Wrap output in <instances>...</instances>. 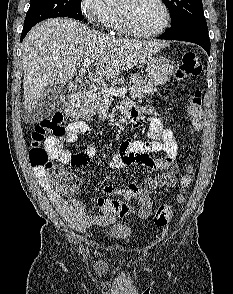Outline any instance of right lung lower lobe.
I'll return each mask as SVG.
<instances>
[{
    "label": "right lung lower lobe",
    "instance_id": "right-lung-lower-lobe-1",
    "mask_svg": "<svg viewBox=\"0 0 233 294\" xmlns=\"http://www.w3.org/2000/svg\"><path fill=\"white\" fill-rule=\"evenodd\" d=\"M31 28H23L22 34H21V41L24 39V36L27 34V32L30 30Z\"/></svg>",
    "mask_w": 233,
    "mask_h": 294
}]
</instances>
